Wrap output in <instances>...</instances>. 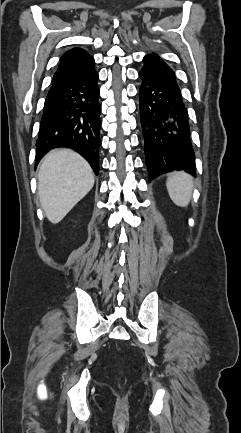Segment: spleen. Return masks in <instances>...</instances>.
<instances>
[{
	"label": "spleen",
	"instance_id": "3e777b00",
	"mask_svg": "<svg viewBox=\"0 0 241 433\" xmlns=\"http://www.w3.org/2000/svg\"><path fill=\"white\" fill-rule=\"evenodd\" d=\"M166 187L171 200L179 207H187L193 191L191 175L183 172H173L169 175Z\"/></svg>",
	"mask_w": 241,
	"mask_h": 433
}]
</instances>
